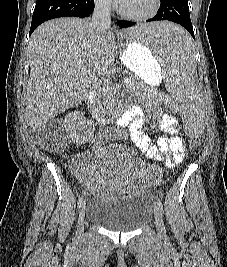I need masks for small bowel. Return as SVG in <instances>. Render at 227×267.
I'll use <instances>...</instances> for the list:
<instances>
[{
    "mask_svg": "<svg viewBox=\"0 0 227 267\" xmlns=\"http://www.w3.org/2000/svg\"><path fill=\"white\" fill-rule=\"evenodd\" d=\"M146 118L157 119V126L165 135L153 139L144 132L143 125ZM115 125L128 131L131 141L146 158L163 162L168 169H174L182 162L185 153V141L180 135L181 126L174 116L161 114L155 103L147 104L145 110L132 109L120 116ZM70 170L85 184H88L89 177L93 174V171L80 157L72 161ZM89 188L94 193L109 191V193L116 195L112 188L104 184L91 185Z\"/></svg>",
    "mask_w": 227,
    "mask_h": 267,
    "instance_id": "1",
    "label": "small bowel"
}]
</instances>
